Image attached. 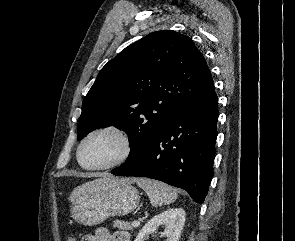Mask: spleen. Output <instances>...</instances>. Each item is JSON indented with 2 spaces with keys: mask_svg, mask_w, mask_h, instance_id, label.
<instances>
[{
  "mask_svg": "<svg viewBox=\"0 0 295 241\" xmlns=\"http://www.w3.org/2000/svg\"><path fill=\"white\" fill-rule=\"evenodd\" d=\"M137 185L148 195L153 206L171 204L177 198V190L163 182L147 178L136 179Z\"/></svg>",
  "mask_w": 295,
  "mask_h": 241,
  "instance_id": "3e777b00",
  "label": "spleen"
}]
</instances>
